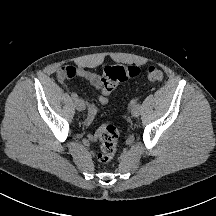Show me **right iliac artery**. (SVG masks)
<instances>
[{
	"label": "right iliac artery",
	"mask_w": 216,
	"mask_h": 216,
	"mask_svg": "<svg viewBox=\"0 0 216 216\" xmlns=\"http://www.w3.org/2000/svg\"><path fill=\"white\" fill-rule=\"evenodd\" d=\"M71 96H72V98H73L74 100H76V99L78 98V95H77L76 93H74V92L71 94Z\"/></svg>",
	"instance_id": "obj_1"
}]
</instances>
